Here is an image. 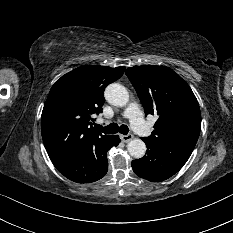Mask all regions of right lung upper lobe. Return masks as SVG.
<instances>
[{
    "mask_svg": "<svg viewBox=\"0 0 233 233\" xmlns=\"http://www.w3.org/2000/svg\"><path fill=\"white\" fill-rule=\"evenodd\" d=\"M125 67L82 66L52 86L41 117L42 138L52 161L94 148L109 139L93 128L92 116L102 112L104 89Z\"/></svg>",
    "mask_w": 233,
    "mask_h": 233,
    "instance_id": "obj_1",
    "label": "right lung upper lobe"
}]
</instances>
